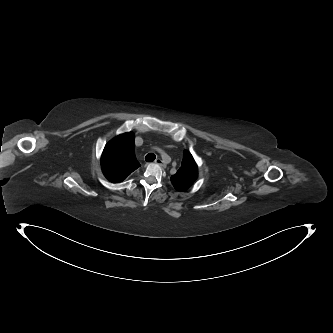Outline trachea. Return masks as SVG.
Here are the masks:
<instances>
[{"mask_svg":"<svg viewBox=\"0 0 333 333\" xmlns=\"http://www.w3.org/2000/svg\"><path fill=\"white\" fill-rule=\"evenodd\" d=\"M155 158H156V156H155V154H153V153H149V154H147V155L145 156V160H146L147 162H152V161L155 160Z\"/></svg>","mask_w":333,"mask_h":333,"instance_id":"trachea-1","label":"trachea"}]
</instances>
